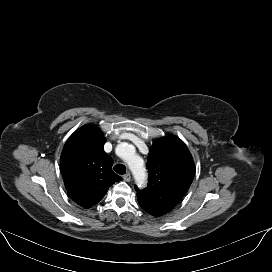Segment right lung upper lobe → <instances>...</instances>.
<instances>
[{
	"label": "right lung upper lobe",
	"mask_w": 272,
	"mask_h": 272,
	"mask_svg": "<svg viewBox=\"0 0 272 272\" xmlns=\"http://www.w3.org/2000/svg\"><path fill=\"white\" fill-rule=\"evenodd\" d=\"M106 139L100 128L85 125L66 142L61 154V170L70 197L80 206L97 204L109 187L121 180L112 171L113 160L104 152Z\"/></svg>",
	"instance_id": "1"
}]
</instances>
